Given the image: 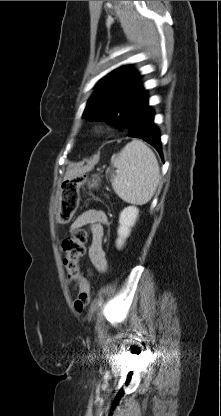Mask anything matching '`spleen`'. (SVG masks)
Returning <instances> with one entry per match:
<instances>
[{
	"label": "spleen",
	"mask_w": 221,
	"mask_h": 416,
	"mask_svg": "<svg viewBox=\"0 0 221 416\" xmlns=\"http://www.w3.org/2000/svg\"><path fill=\"white\" fill-rule=\"evenodd\" d=\"M116 173L111 176L115 193L125 202L146 204L160 180L159 164L153 151L142 141L132 140L112 158Z\"/></svg>",
	"instance_id": "obj_1"
}]
</instances>
